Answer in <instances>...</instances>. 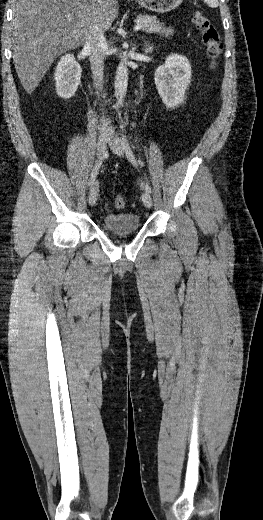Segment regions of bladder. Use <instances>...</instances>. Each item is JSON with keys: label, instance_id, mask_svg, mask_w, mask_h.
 I'll list each match as a JSON object with an SVG mask.
<instances>
[{"label": "bladder", "instance_id": "31cf9c89", "mask_svg": "<svg viewBox=\"0 0 263 520\" xmlns=\"http://www.w3.org/2000/svg\"><path fill=\"white\" fill-rule=\"evenodd\" d=\"M103 228L110 233H128L141 227L139 215L135 213L107 214L102 220Z\"/></svg>", "mask_w": 263, "mask_h": 520}]
</instances>
